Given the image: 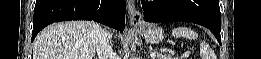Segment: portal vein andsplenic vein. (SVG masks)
<instances>
[{
  "instance_id": "portal-vein-and-splenic-vein-1",
  "label": "portal vein and splenic vein",
  "mask_w": 261,
  "mask_h": 59,
  "mask_svg": "<svg viewBox=\"0 0 261 59\" xmlns=\"http://www.w3.org/2000/svg\"><path fill=\"white\" fill-rule=\"evenodd\" d=\"M150 56H151L152 58H154V57L156 56V53H155V52H151Z\"/></svg>"
}]
</instances>
